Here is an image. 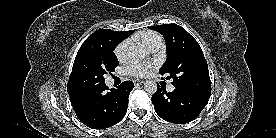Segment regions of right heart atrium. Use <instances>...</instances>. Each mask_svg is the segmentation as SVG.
Masks as SVG:
<instances>
[{"label":"right heart atrium","instance_id":"obj_1","mask_svg":"<svg viewBox=\"0 0 276 138\" xmlns=\"http://www.w3.org/2000/svg\"><path fill=\"white\" fill-rule=\"evenodd\" d=\"M127 51H128V42L122 41L116 46L114 50V54L119 61H123L127 57Z\"/></svg>","mask_w":276,"mask_h":138}]
</instances>
